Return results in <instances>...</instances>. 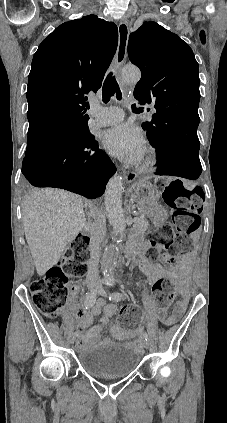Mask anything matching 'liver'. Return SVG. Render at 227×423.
<instances>
[{"label": "liver", "instance_id": "6515ba94", "mask_svg": "<svg viewBox=\"0 0 227 423\" xmlns=\"http://www.w3.org/2000/svg\"><path fill=\"white\" fill-rule=\"evenodd\" d=\"M83 208L80 196L57 188L33 190L24 198L25 237L38 275L58 263L84 227L90 231Z\"/></svg>", "mask_w": 227, "mask_h": 423}]
</instances>
